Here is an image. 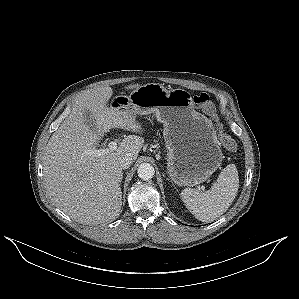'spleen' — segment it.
<instances>
[{
    "label": "spleen",
    "instance_id": "spleen-1",
    "mask_svg": "<svg viewBox=\"0 0 299 299\" xmlns=\"http://www.w3.org/2000/svg\"><path fill=\"white\" fill-rule=\"evenodd\" d=\"M239 188V176L234 164L227 165L210 190L185 188L181 198L187 209L202 222L220 217L234 201Z\"/></svg>",
    "mask_w": 299,
    "mask_h": 299
}]
</instances>
